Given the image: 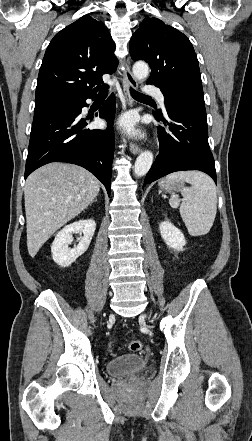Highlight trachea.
<instances>
[{
    "label": "trachea",
    "mask_w": 252,
    "mask_h": 441,
    "mask_svg": "<svg viewBox=\"0 0 252 441\" xmlns=\"http://www.w3.org/2000/svg\"><path fill=\"white\" fill-rule=\"evenodd\" d=\"M107 92H108V86L106 85L100 90L99 96L105 97V96H107ZM130 93H131L132 97L135 99L151 100V97L146 96L142 93H139L133 89H130Z\"/></svg>",
    "instance_id": "1"
}]
</instances>
